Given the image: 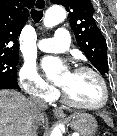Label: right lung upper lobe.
I'll return each mask as SVG.
<instances>
[{
    "mask_svg": "<svg viewBox=\"0 0 117 136\" xmlns=\"http://www.w3.org/2000/svg\"><path fill=\"white\" fill-rule=\"evenodd\" d=\"M35 0H0V56H18V36Z\"/></svg>",
    "mask_w": 117,
    "mask_h": 136,
    "instance_id": "1",
    "label": "right lung upper lobe"
}]
</instances>
